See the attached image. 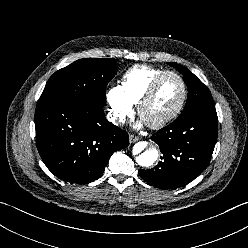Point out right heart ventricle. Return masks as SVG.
<instances>
[{
	"label": "right heart ventricle",
	"mask_w": 248,
	"mask_h": 248,
	"mask_svg": "<svg viewBox=\"0 0 248 248\" xmlns=\"http://www.w3.org/2000/svg\"><path fill=\"white\" fill-rule=\"evenodd\" d=\"M166 72L163 69L139 65L129 69L122 77L121 88L128 100L137 105L152 81Z\"/></svg>",
	"instance_id": "right-heart-ventricle-1"
}]
</instances>
